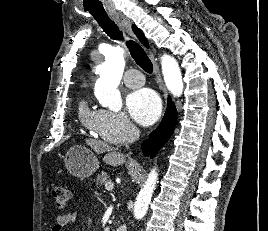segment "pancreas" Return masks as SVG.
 Masks as SVG:
<instances>
[{
    "mask_svg": "<svg viewBox=\"0 0 268 231\" xmlns=\"http://www.w3.org/2000/svg\"><path fill=\"white\" fill-rule=\"evenodd\" d=\"M95 181H96V185L102 186L105 182L108 181L107 173L102 172L101 174H98Z\"/></svg>",
    "mask_w": 268,
    "mask_h": 231,
    "instance_id": "1",
    "label": "pancreas"
}]
</instances>
